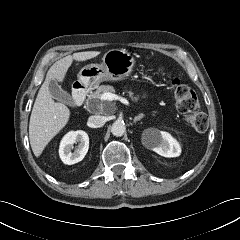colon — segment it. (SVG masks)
Masks as SVG:
<instances>
[{"label":"colon","mask_w":240,"mask_h":240,"mask_svg":"<svg viewBox=\"0 0 240 240\" xmlns=\"http://www.w3.org/2000/svg\"><path fill=\"white\" fill-rule=\"evenodd\" d=\"M173 99L177 109L184 115L185 122L197 132H204L208 127V117L200 110L196 92L177 78H171Z\"/></svg>","instance_id":"1"}]
</instances>
